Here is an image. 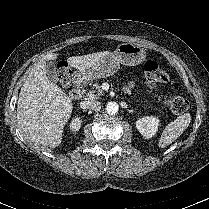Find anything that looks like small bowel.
Returning a JSON list of instances; mask_svg holds the SVG:
<instances>
[{
  "label": "small bowel",
  "instance_id": "1",
  "mask_svg": "<svg viewBox=\"0 0 209 209\" xmlns=\"http://www.w3.org/2000/svg\"><path fill=\"white\" fill-rule=\"evenodd\" d=\"M130 86H131V87H133V86H134V83H133V82H131V83H130Z\"/></svg>",
  "mask_w": 209,
  "mask_h": 209
}]
</instances>
